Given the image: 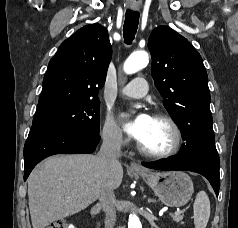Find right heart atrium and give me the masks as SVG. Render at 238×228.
I'll list each match as a JSON object with an SVG mask.
<instances>
[{"label": "right heart atrium", "instance_id": "d8ad5b80", "mask_svg": "<svg viewBox=\"0 0 238 228\" xmlns=\"http://www.w3.org/2000/svg\"><path fill=\"white\" fill-rule=\"evenodd\" d=\"M101 138L104 143L113 147H121L125 144L122 131L111 114H107L105 117Z\"/></svg>", "mask_w": 238, "mask_h": 228}]
</instances>
